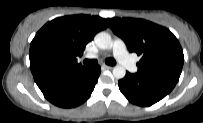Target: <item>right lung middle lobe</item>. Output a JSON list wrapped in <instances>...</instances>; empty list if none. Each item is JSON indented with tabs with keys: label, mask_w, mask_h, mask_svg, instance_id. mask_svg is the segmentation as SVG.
Returning a JSON list of instances; mask_svg holds the SVG:
<instances>
[{
	"label": "right lung middle lobe",
	"mask_w": 203,
	"mask_h": 123,
	"mask_svg": "<svg viewBox=\"0 0 203 123\" xmlns=\"http://www.w3.org/2000/svg\"><path fill=\"white\" fill-rule=\"evenodd\" d=\"M33 66L38 70L52 69L57 66V56L49 50H42L35 54Z\"/></svg>",
	"instance_id": "right-lung-middle-lobe-1"
}]
</instances>
